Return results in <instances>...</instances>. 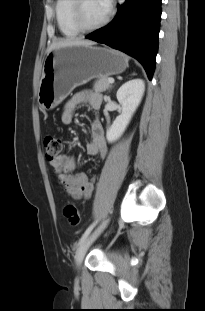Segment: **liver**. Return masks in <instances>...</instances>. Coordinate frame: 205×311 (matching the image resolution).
<instances>
[{
  "mask_svg": "<svg viewBox=\"0 0 205 311\" xmlns=\"http://www.w3.org/2000/svg\"><path fill=\"white\" fill-rule=\"evenodd\" d=\"M95 42L91 40H85L82 38H67V39H60L57 41H53L50 47L47 49V53L51 52L54 49L72 46V45H94Z\"/></svg>",
  "mask_w": 205,
  "mask_h": 311,
  "instance_id": "6515ba94",
  "label": "liver"
}]
</instances>
